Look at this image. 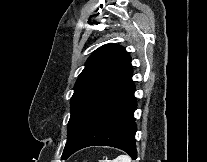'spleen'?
<instances>
[{"label":"spleen","instance_id":"obj_1","mask_svg":"<svg viewBox=\"0 0 207 162\" xmlns=\"http://www.w3.org/2000/svg\"><path fill=\"white\" fill-rule=\"evenodd\" d=\"M99 162H132L128 155H119L114 160H100Z\"/></svg>","mask_w":207,"mask_h":162}]
</instances>
